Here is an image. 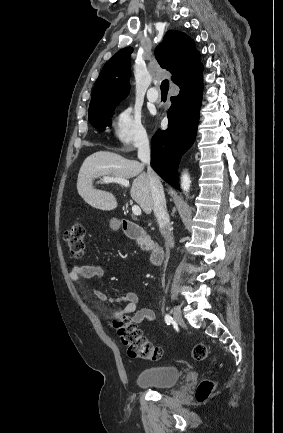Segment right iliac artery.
<instances>
[{"label": "right iliac artery", "instance_id": "1", "mask_svg": "<svg viewBox=\"0 0 283 433\" xmlns=\"http://www.w3.org/2000/svg\"><path fill=\"white\" fill-rule=\"evenodd\" d=\"M165 322L167 323V325H170L171 323H173V318L170 315H166Z\"/></svg>", "mask_w": 283, "mask_h": 433}]
</instances>
